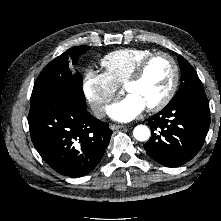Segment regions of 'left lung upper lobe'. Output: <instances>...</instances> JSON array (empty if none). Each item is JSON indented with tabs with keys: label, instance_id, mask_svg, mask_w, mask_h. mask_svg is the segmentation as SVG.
I'll use <instances>...</instances> for the list:
<instances>
[{
	"label": "left lung upper lobe",
	"instance_id": "left-lung-upper-lobe-1",
	"mask_svg": "<svg viewBox=\"0 0 221 221\" xmlns=\"http://www.w3.org/2000/svg\"><path fill=\"white\" fill-rule=\"evenodd\" d=\"M178 62L181 69V84L177 94L168 105L189 97H206L202 82L191 64L182 56H178Z\"/></svg>",
	"mask_w": 221,
	"mask_h": 221
}]
</instances>
